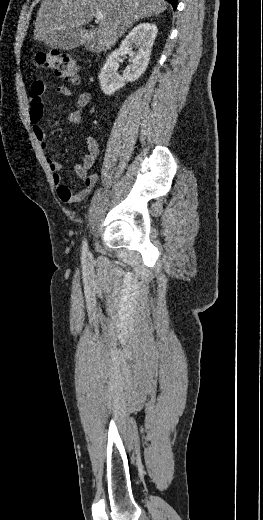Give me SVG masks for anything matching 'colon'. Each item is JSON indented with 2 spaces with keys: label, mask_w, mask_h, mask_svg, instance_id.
Here are the masks:
<instances>
[{
  "label": "colon",
  "mask_w": 263,
  "mask_h": 520,
  "mask_svg": "<svg viewBox=\"0 0 263 520\" xmlns=\"http://www.w3.org/2000/svg\"><path fill=\"white\" fill-rule=\"evenodd\" d=\"M37 64L52 71L56 76L73 84L79 82V68L69 55L56 50L40 51L36 54Z\"/></svg>",
  "instance_id": "colon-1"
}]
</instances>
